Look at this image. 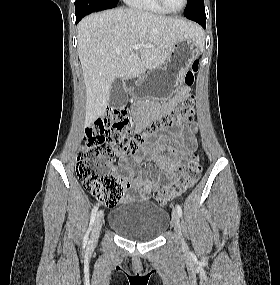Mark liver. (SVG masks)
Masks as SVG:
<instances>
[{
    "mask_svg": "<svg viewBox=\"0 0 280 285\" xmlns=\"http://www.w3.org/2000/svg\"><path fill=\"white\" fill-rule=\"evenodd\" d=\"M198 25L135 8L106 10L86 16L78 24V55L83 72L85 126L105 112L116 78L139 77L163 65L177 41H200ZM144 45L139 50L134 46Z\"/></svg>",
    "mask_w": 280,
    "mask_h": 285,
    "instance_id": "obj_1",
    "label": "liver"
}]
</instances>
